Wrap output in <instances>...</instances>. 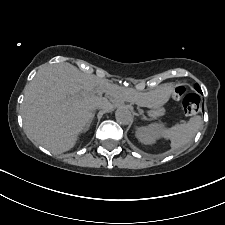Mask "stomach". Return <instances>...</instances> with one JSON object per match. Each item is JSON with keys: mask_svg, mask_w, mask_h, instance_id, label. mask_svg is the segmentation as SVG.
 Segmentation results:
<instances>
[{"mask_svg": "<svg viewBox=\"0 0 225 225\" xmlns=\"http://www.w3.org/2000/svg\"><path fill=\"white\" fill-rule=\"evenodd\" d=\"M170 92L168 88L158 89L151 92L143 98L144 106L154 109H159L165 104L169 98Z\"/></svg>", "mask_w": 225, "mask_h": 225, "instance_id": "stomach-1", "label": "stomach"}]
</instances>
